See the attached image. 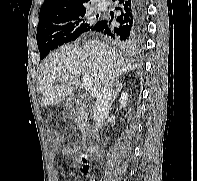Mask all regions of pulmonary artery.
<instances>
[{
    "label": "pulmonary artery",
    "instance_id": "1",
    "mask_svg": "<svg viewBox=\"0 0 197 181\" xmlns=\"http://www.w3.org/2000/svg\"><path fill=\"white\" fill-rule=\"evenodd\" d=\"M99 8L103 10V9H105V5H102Z\"/></svg>",
    "mask_w": 197,
    "mask_h": 181
}]
</instances>
